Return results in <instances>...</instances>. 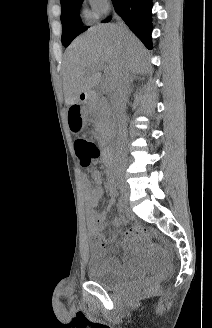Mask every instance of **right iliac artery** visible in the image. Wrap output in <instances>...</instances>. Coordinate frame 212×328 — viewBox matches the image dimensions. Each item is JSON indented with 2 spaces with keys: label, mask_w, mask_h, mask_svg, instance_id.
Wrapping results in <instances>:
<instances>
[{
  "label": "right iliac artery",
  "mask_w": 212,
  "mask_h": 328,
  "mask_svg": "<svg viewBox=\"0 0 212 328\" xmlns=\"http://www.w3.org/2000/svg\"><path fill=\"white\" fill-rule=\"evenodd\" d=\"M119 204L121 206H124L125 205V201H124V199L122 197L119 198Z\"/></svg>",
  "instance_id": "right-iliac-artery-1"
}]
</instances>
